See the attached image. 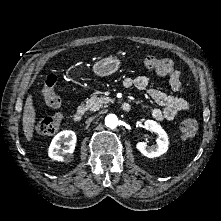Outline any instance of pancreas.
I'll return each instance as SVG.
<instances>
[{
	"mask_svg": "<svg viewBox=\"0 0 221 221\" xmlns=\"http://www.w3.org/2000/svg\"><path fill=\"white\" fill-rule=\"evenodd\" d=\"M110 102L111 99L108 97H98L93 95L86 100L85 109L89 111H97L100 108L107 106Z\"/></svg>",
	"mask_w": 221,
	"mask_h": 221,
	"instance_id": "1",
	"label": "pancreas"
}]
</instances>
